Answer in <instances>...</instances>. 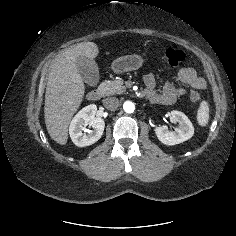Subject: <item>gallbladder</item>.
I'll list each match as a JSON object with an SVG mask.
<instances>
[{
  "instance_id": "gallbladder-1",
  "label": "gallbladder",
  "mask_w": 236,
  "mask_h": 236,
  "mask_svg": "<svg viewBox=\"0 0 236 236\" xmlns=\"http://www.w3.org/2000/svg\"><path fill=\"white\" fill-rule=\"evenodd\" d=\"M79 74L89 86H96L99 82V68L96 62L86 56H80L76 60Z\"/></svg>"
}]
</instances>
